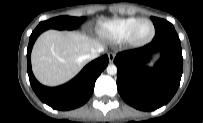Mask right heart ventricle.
I'll return each mask as SVG.
<instances>
[{"mask_svg": "<svg viewBox=\"0 0 203 123\" xmlns=\"http://www.w3.org/2000/svg\"><path fill=\"white\" fill-rule=\"evenodd\" d=\"M139 20L141 18L129 17L105 21L98 25L97 31L104 38L113 41H123L128 38L131 29Z\"/></svg>", "mask_w": 203, "mask_h": 123, "instance_id": "obj_1", "label": "right heart ventricle"}]
</instances>
